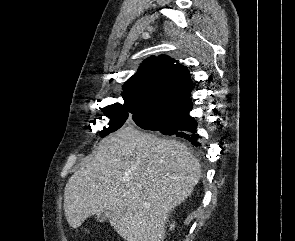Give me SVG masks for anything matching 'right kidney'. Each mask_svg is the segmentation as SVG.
I'll list each match as a JSON object with an SVG mask.
<instances>
[{"label":"right kidney","instance_id":"1","mask_svg":"<svg viewBox=\"0 0 295 241\" xmlns=\"http://www.w3.org/2000/svg\"><path fill=\"white\" fill-rule=\"evenodd\" d=\"M172 227H174V225H171L170 229H172Z\"/></svg>","mask_w":295,"mask_h":241}]
</instances>
